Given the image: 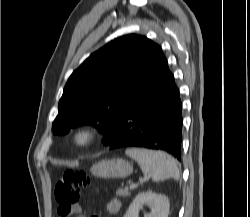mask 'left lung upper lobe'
I'll return each instance as SVG.
<instances>
[{
  "instance_id": "left-lung-upper-lobe-1",
  "label": "left lung upper lobe",
  "mask_w": 250,
  "mask_h": 217,
  "mask_svg": "<svg viewBox=\"0 0 250 217\" xmlns=\"http://www.w3.org/2000/svg\"><path fill=\"white\" fill-rule=\"evenodd\" d=\"M161 48L146 37L131 34L117 38L95 53L69 77L52 124L54 134L90 124L112 134L120 112L148 73Z\"/></svg>"
}]
</instances>
